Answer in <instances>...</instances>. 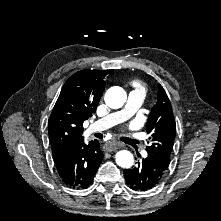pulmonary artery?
<instances>
[{
    "instance_id": "obj_1",
    "label": "pulmonary artery",
    "mask_w": 221,
    "mask_h": 221,
    "mask_svg": "<svg viewBox=\"0 0 221 221\" xmlns=\"http://www.w3.org/2000/svg\"><path fill=\"white\" fill-rule=\"evenodd\" d=\"M144 94L141 90H134L129 93L128 101L126 106L118 111L111 113L99 120L90 126L91 131H101L106 130L116 124L121 123L122 121L129 118L143 103ZM146 156V153H144Z\"/></svg>"
}]
</instances>
